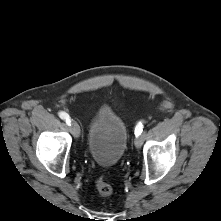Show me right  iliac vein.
Listing matches in <instances>:
<instances>
[{"label": "right iliac vein", "mask_w": 221, "mask_h": 221, "mask_svg": "<svg viewBox=\"0 0 221 221\" xmlns=\"http://www.w3.org/2000/svg\"><path fill=\"white\" fill-rule=\"evenodd\" d=\"M70 130L75 138H78L80 136V128L76 121H71Z\"/></svg>", "instance_id": "63e3f726"}]
</instances>
